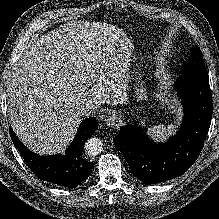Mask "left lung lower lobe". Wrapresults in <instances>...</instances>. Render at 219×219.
Wrapping results in <instances>:
<instances>
[{"label":"left lung lower lobe","mask_w":219,"mask_h":219,"mask_svg":"<svg viewBox=\"0 0 219 219\" xmlns=\"http://www.w3.org/2000/svg\"><path fill=\"white\" fill-rule=\"evenodd\" d=\"M176 89L184 103V120L176 136L153 144L141 128L128 124L113 138L133 175L145 184L165 182L185 173L197 160L210 128L213 104L209 77L182 74Z\"/></svg>","instance_id":"0a47b994"}]
</instances>
